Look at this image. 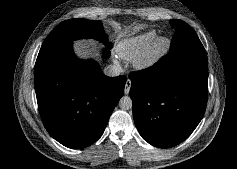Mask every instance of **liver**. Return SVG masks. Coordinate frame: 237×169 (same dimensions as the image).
<instances>
[{"label":"liver","instance_id":"liver-1","mask_svg":"<svg viewBox=\"0 0 237 169\" xmlns=\"http://www.w3.org/2000/svg\"><path fill=\"white\" fill-rule=\"evenodd\" d=\"M101 45L93 40H78L74 42V51L82 60L91 58L98 60Z\"/></svg>","mask_w":237,"mask_h":169}]
</instances>
